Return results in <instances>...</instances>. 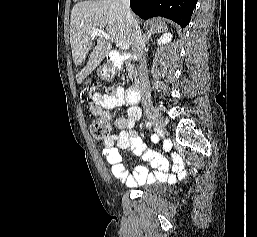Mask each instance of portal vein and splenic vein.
<instances>
[{
    "label": "portal vein and splenic vein",
    "instance_id": "18ae733b",
    "mask_svg": "<svg viewBox=\"0 0 257 237\" xmlns=\"http://www.w3.org/2000/svg\"><path fill=\"white\" fill-rule=\"evenodd\" d=\"M96 36H100L105 38L106 40H110V36L103 30L101 29H92L91 30V38L94 39ZM118 47L121 50H128L129 49V44L126 42H119Z\"/></svg>",
    "mask_w": 257,
    "mask_h": 237
}]
</instances>
